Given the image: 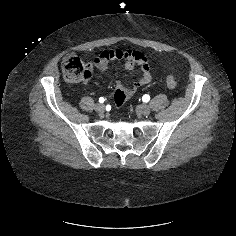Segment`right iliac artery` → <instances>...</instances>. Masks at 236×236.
<instances>
[{
  "label": "right iliac artery",
  "instance_id": "right-iliac-artery-1",
  "mask_svg": "<svg viewBox=\"0 0 236 236\" xmlns=\"http://www.w3.org/2000/svg\"><path fill=\"white\" fill-rule=\"evenodd\" d=\"M104 101H105V99H104L103 97H100V98H99V102H100V103H103Z\"/></svg>",
  "mask_w": 236,
  "mask_h": 236
}]
</instances>
